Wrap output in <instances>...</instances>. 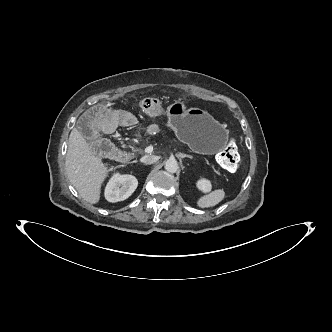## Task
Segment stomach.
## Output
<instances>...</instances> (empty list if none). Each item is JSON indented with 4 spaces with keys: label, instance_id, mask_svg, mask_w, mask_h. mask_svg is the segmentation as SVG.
Segmentation results:
<instances>
[{
    "label": "stomach",
    "instance_id": "stomach-1",
    "mask_svg": "<svg viewBox=\"0 0 332 332\" xmlns=\"http://www.w3.org/2000/svg\"><path fill=\"white\" fill-rule=\"evenodd\" d=\"M167 116L177 138L196 152L213 154L228 142L226 128L205 110L187 109L183 102L177 101L169 106Z\"/></svg>",
    "mask_w": 332,
    "mask_h": 332
}]
</instances>
